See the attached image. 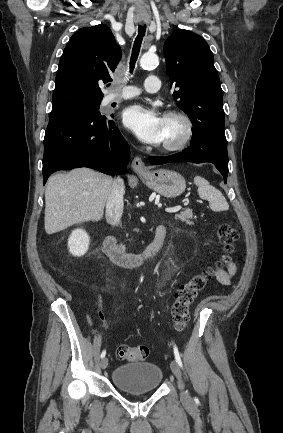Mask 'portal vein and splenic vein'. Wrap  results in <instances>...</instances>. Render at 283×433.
I'll list each match as a JSON object with an SVG mask.
<instances>
[{
  "mask_svg": "<svg viewBox=\"0 0 283 433\" xmlns=\"http://www.w3.org/2000/svg\"><path fill=\"white\" fill-rule=\"evenodd\" d=\"M182 206H173V208H165L166 212H178Z\"/></svg>",
  "mask_w": 283,
  "mask_h": 433,
  "instance_id": "obj_1",
  "label": "portal vein and splenic vein"
}]
</instances>
